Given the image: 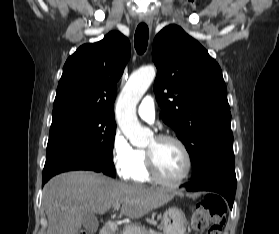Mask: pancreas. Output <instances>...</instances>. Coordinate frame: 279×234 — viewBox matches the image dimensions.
Listing matches in <instances>:
<instances>
[{
    "instance_id": "cf45deb5",
    "label": "pancreas",
    "mask_w": 279,
    "mask_h": 234,
    "mask_svg": "<svg viewBox=\"0 0 279 234\" xmlns=\"http://www.w3.org/2000/svg\"><path fill=\"white\" fill-rule=\"evenodd\" d=\"M117 234H153L150 231H147L144 227L141 225H128L125 227V229ZM161 234V233H156Z\"/></svg>"
}]
</instances>
